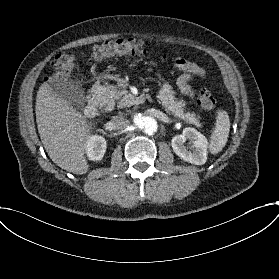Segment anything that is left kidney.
<instances>
[{"label": "left kidney", "mask_w": 279, "mask_h": 279, "mask_svg": "<svg viewBox=\"0 0 279 279\" xmlns=\"http://www.w3.org/2000/svg\"><path fill=\"white\" fill-rule=\"evenodd\" d=\"M189 141V145L184 143ZM172 148L176 155L182 160L194 164L204 165L207 156V140L206 138L194 130L193 128H186L180 135H175L171 142ZM192 147V151L189 149Z\"/></svg>", "instance_id": "1"}]
</instances>
